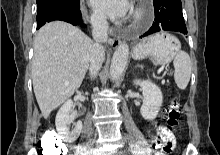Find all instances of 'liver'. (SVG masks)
I'll use <instances>...</instances> for the list:
<instances>
[{
    "mask_svg": "<svg viewBox=\"0 0 220 155\" xmlns=\"http://www.w3.org/2000/svg\"><path fill=\"white\" fill-rule=\"evenodd\" d=\"M93 45L80 29L66 22H50L39 29L34 42L32 80L45 119L80 87Z\"/></svg>",
    "mask_w": 220,
    "mask_h": 155,
    "instance_id": "obj_1",
    "label": "liver"
}]
</instances>
